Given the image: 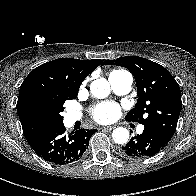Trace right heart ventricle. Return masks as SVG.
<instances>
[{"mask_svg": "<svg viewBox=\"0 0 196 196\" xmlns=\"http://www.w3.org/2000/svg\"><path fill=\"white\" fill-rule=\"evenodd\" d=\"M121 72H123V71H121V70H113V71L110 73V75L119 74V73H121Z\"/></svg>", "mask_w": 196, "mask_h": 196, "instance_id": "e07e8e85", "label": "right heart ventricle"}]
</instances>
